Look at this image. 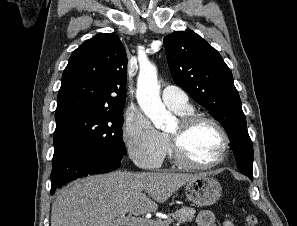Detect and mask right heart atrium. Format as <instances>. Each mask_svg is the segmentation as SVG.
<instances>
[{
	"mask_svg": "<svg viewBox=\"0 0 297 226\" xmlns=\"http://www.w3.org/2000/svg\"><path fill=\"white\" fill-rule=\"evenodd\" d=\"M123 141L130 158L143 169L157 168L167 152L165 137L138 108L126 114Z\"/></svg>",
	"mask_w": 297,
	"mask_h": 226,
	"instance_id": "obj_1",
	"label": "right heart atrium"
}]
</instances>
